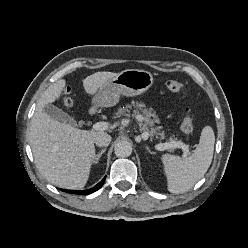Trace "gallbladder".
<instances>
[{
    "mask_svg": "<svg viewBox=\"0 0 248 248\" xmlns=\"http://www.w3.org/2000/svg\"><path fill=\"white\" fill-rule=\"evenodd\" d=\"M44 112L53 119L68 123L70 125H76V121L63 112L61 109L54 105L48 104L44 107Z\"/></svg>",
    "mask_w": 248,
    "mask_h": 248,
    "instance_id": "gallbladder-1",
    "label": "gallbladder"
}]
</instances>
